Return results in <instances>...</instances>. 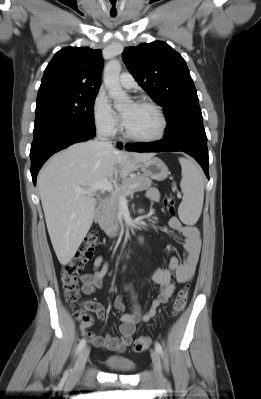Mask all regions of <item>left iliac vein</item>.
<instances>
[{
    "instance_id": "1",
    "label": "left iliac vein",
    "mask_w": 261,
    "mask_h": 399,
    "mask_svg": "<svg viewBox=\"0 0 261 399\" xmlns=\"http://www.w3.org/2000/svg\"><path fill=\"white\" fill-rule=\"evenodd\" d=\"M151 358L153 363L154 375L156 380L161 381L163 379L161 359L157 350H152Z\"/></svg>"
}]
</instances>
